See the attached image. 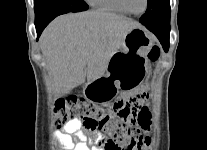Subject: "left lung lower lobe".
I'll return each mask as SVG.
<instances>
[{"mask_svg":"<svg viewBox=\"0 0 207 150\" xmlns=\"http://www.w3.org/2000/svg\"><path fill=\"white\" fill-rule=\"evenodd\" d=\"M161 42L165 52L169 49L170 23L161 25H145Z\"/></svg>","mask_w":207,"mask_h":150,"instance_id":"left-lung-lower-lobe-1","label":"left lung lower lobe"}]
</instances>
